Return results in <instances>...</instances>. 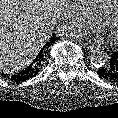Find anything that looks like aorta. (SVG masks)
<instances>
[{
    "label": "aorta",
    "instance_id": "1",
    "mask_svg": "<svg viewBox=\"0 0 118 118\" xmlns=\"http://www.w3.org/2000/svg\"><path fill=\"white\" fill-rule=\"evenodd\" d=\"M90 61L94 67H102L108 60V54L99 48H95L90 53Z\"/></svg>",
    "mask_w": 118,
    "mask_h": 118
}]
</instances>
